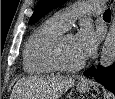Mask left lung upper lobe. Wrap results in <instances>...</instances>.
Here are the masks:
<instances>
[{"mask_svg": "<svg viewBox=\"0 0 115 99\" xmlns=\"http://www.w3.org/2000/svg\"><path fill=\"white\" fill-rule=\"evenodd\" d=\"M64 2H66V0H39L38 4L34 10V13L29 20V24L35 23L41 17H43L45 14H47L51 10L59 7Z\"/></svg>", "mask_w": 115, "mask_h": 99, "instance_id": "obj_1", "label": "left lung upper lobe"}]
</instances>
